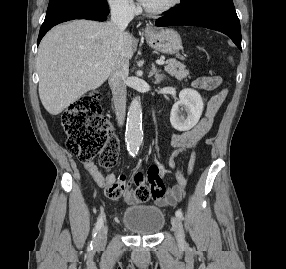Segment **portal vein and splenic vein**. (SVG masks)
<instances>
[{
	"label": "portal vein and splenic vein",
	"instance_id": "18ae733b",
	"mask_svg": "<svg viewBox=\"0 0 286 269\" xmlns=\"http://www.w3.org/2000/svg\"><path fill=\"white\" fill-rule=\"evenodd\" d=\"M156 63L158 65H163L165 62L162 59H158V60H156Z\"/></svg>",
	"mask_w": 286,
	"mask_h": 269
}]
</instances>
